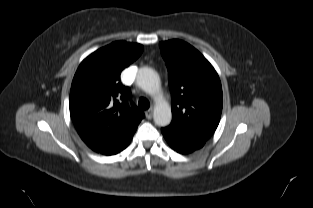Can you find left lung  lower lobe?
I'll return each mask as SVG.
<instances>
[{
  "label": "left lung lower lobe",
  "mask_w": 313,
  "mask_h": 208,
  "mask_svg": "<svg viewBox=\"0 0 313 208\" xmlns=\"http://www.w3.org/2000/svg\"><path fill=\"white\" fill-rule=\"evenodd\" d=\"M162 134L164 138L167 140L169 145L176 150L177 152L181 154H188L191 153L199 148H201L204 144H199V143H193V142H188L181 140L170 133L166 132L165 130L161 129Z\"/></svg>",
  "instance_id": "1"
}]
</instances>
